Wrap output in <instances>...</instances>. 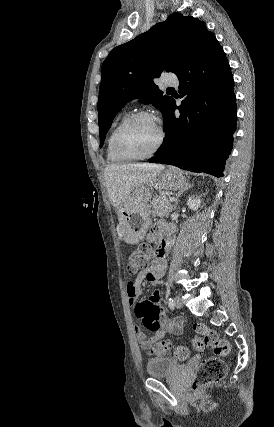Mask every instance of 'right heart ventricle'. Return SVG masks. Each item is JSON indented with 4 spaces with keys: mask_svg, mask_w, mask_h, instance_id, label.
Listing matches in <instances>:
<instances>
[{
    "mask_svg": "<svg viewBox=\"0 0 274 427\" xmlns=\"http://www.w3.org/2000/svg\"><path fill=\"white\" fill-rule=\"evenodd\" d=\"M127 118V114H124L119 121H117L111 131L109 132V135L107 137V142H106V159L108 161V163L110 164H124L126 161L124 159H122L114 150L113 148V144H112V138H113V134L117 128V126L125 119Z\"/></svg>",
    "mask_w": 274,
    "mask_h": 427,
    "instance_id": "right-heart-ventricle-1",
    "label": "right heart ventricle"
}]
</instances>
